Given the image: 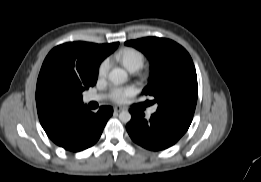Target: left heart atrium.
I'll return each mask as SVG.
<instances>
[{
  "instance_id": "1",
  "label": "left heart atrium",
  "mask_w": 261,
  "mask_h": 182,
  "mask_svg": "<svg viewBox=\"0 0 261 182\" xmlns=\"http://www.w3.org/2000/svg\"><path fill=\"white\" fill-rule=\"evenodd\" d=\"M133 93H134L133 87H125V88L115 87V88H112L110 91V98L117 103H123Z\"/></svg>"
}]
</instances>
